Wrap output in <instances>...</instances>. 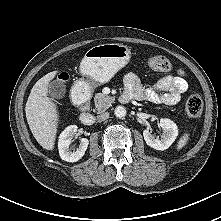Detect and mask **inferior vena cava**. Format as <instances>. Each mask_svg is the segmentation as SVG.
<instances>
[{
    "label": "inferior vena cava",
    "mask_w": 221,
    "mask_h": 221,
    "mask_svg": "<svg viewBox=\"0 0 221 221\" xmlns=\"http://www.w3.org/2000/svg\"><path fill=\"white\" fill-rule=\"evenodd\" d=\"M108 117H109V113L105 112V113L98 115L97 120H98V122H102V121L108 119Z\"/></svg>",
    "instance_id": "602c4592"
}]
</instances>
